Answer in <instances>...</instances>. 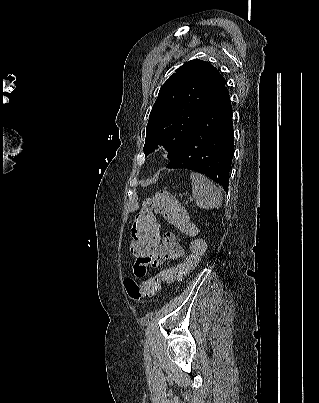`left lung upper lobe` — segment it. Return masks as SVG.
Here are the masks:
<instances>
[{
  "label": "left lung upper lobe",
  "mask_w": 319,
  "mask_h": 403,
  "mask_svg": "<svg viewBox=\"0 0 319 403\" xmlns=\"http://www.w3.org/2000/svg\"><path fill=\"white\" fill-rule=\"evenodd\" d=\"M225 82L214 66L202 60H191L179 67L160 88L152 107L144 153L163 145L169 160L177 156Z\"/></svg>",
  "instance_id": "5c2ea615"
}]
</instances>
